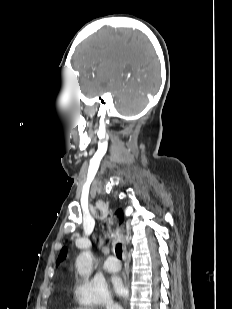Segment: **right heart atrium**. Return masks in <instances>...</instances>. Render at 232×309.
Returning <instances> with one entry per match:
<instances>
[{
    "instance_id": "1",
    "label": "right heart atrium",
    "mask_w": 232,
    "mask_h": 309,
    "mask_svg": "<svg viewBox=\"0 0 232 309\" xmlns=\"http://www.w3.org/2000/svg\"><path fill=\"white\" fill-rule=\"evenodd\" d=\"M73 294L75 300L82 307L116 309L107 289L92 281H77L74 285Z\"/></svg>"
}]
</instances>
